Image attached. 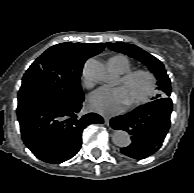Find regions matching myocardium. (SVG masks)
<instances>
[{"label": "myocardium", "instance_id": "1", "mask_svg": "<svg viewBox=\"0 0 194 193\" xmlns=\"http://www.w3.org/2000/svg\"><path fill=\"white\" fill-rule=\"evenodd\" d=\"M137 76H143L146 78L147 87L145 92L139 98L127 103L129 108L137 107L148 101L153 96L156 89V78L154 74L147 69H135L125 73L121 78V83L126 84Z\"/></svg>", "mask_w": 194, "mask_h": 193}]
</instances>
